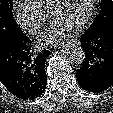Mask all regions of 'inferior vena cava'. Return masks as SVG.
I'll list each match as a JSON object with an SVG mask.
<instances>
[{
  "label": "inferior vena cava",
  "instance_id": "inferior-vena-cava-1",
  "mask_svg": "<svg viewBox=\"0 0 113 113\" xmlns=\"http://www.w3.org/2000/svg\"><path fill=\"white\" fill-rule=\"evenodd\" d=\"M37 31H38V27L35 26V27H33V28L31 29L30 33H31V34H35V33H37Z\"/></svg>",
  "mask_w": 113,
  "mask_h": 113
}]
</instances>
